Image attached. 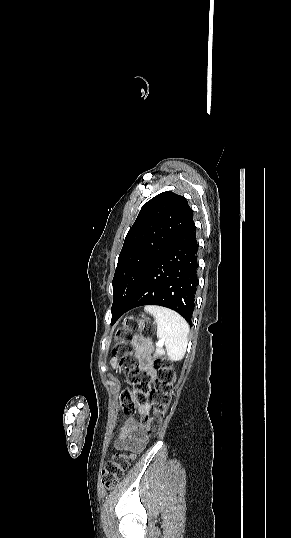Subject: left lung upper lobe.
Instances as JSON below:
<instances>
[{
    "label": "left lung upper lobe",
    "instance_id": "5c2ea615",
    "mask_svg": "<svg viewBox=\"0 0 291 538\" xmlns=\"http://www.w3.org/2000/svg\"><path fill=\"white\" fill-rule=\"evenodd\" d=\"M193 221L186 198L166 191L141 208L128 231L113 278V308L125 307L134 297L160 254Z\"/></svg>",
    "mask_w": 291,
    "mask_h": 538
}]
</instances>
